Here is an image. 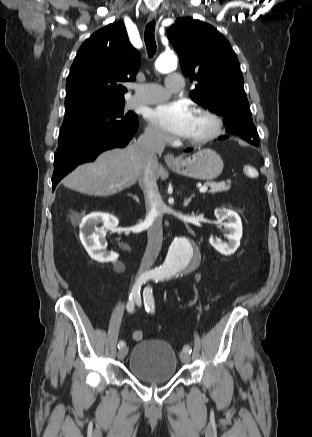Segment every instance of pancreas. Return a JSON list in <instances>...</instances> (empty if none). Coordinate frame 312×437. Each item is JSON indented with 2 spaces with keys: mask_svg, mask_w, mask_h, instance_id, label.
Listing matches in <instances>:
<instances>
[{
  "mask_svg": "<svg viewBox=\"0 0 312 437\" xmlns=\"http://www.w3.org/2000/svg\"><path fill=\"white\" fill-rule=\"evenodd\" d=\"M208 185L211 187L209 193L225 192L230 190V184H226L224 182H210Z\"/></svg>",
  "mask_w": 312,
  "mask_h": 437,
  "instance_id": "obj_1",
  "label": "pancreas"
}]
</instances>
